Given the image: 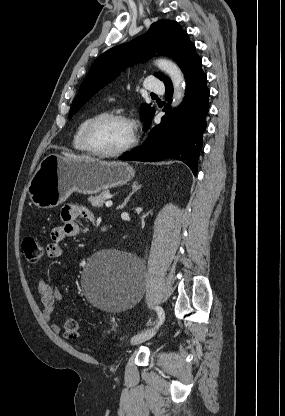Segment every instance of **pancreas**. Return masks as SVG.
<instances>
[{"label":"pancreas","instance_id":"pancreas-1","mask_svg":"<svg viewBox=\"0 0 285 416\" xmlns=\"http://www.w3.org/2000/svg\"><path fill=\"white\" fill-rule=\"evenodd\" d=\"M108 196L109 190H105V192H102L99 196H91V198H87V200L88 202H91L94 208H103L104 200H109Z\"/></svg>","mask_w":285,"mask_h":416}]
</instances>
